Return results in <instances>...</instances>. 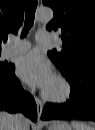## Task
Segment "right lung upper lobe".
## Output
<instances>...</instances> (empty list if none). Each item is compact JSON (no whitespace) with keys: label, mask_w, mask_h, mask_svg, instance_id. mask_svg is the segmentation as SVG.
<instances>
[{"label":"right lung upper lobe","mask_w":95,"mask_h":130,"mask_svg":"<svg viewBox=\"0 0 95 130\" xmlns=\"http://www.w3.org/2000/svg\"><path fill=\"white\" fill-rule=\"evenodd\" d=\"M26 0H0V50L7 33H17L24 18Z\"/></svg>","instance_id":"1"}]
</instances>
